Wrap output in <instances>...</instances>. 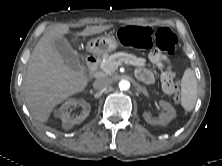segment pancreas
I'll use <instances>...</instances> for the list:
<instances>
[{
    "label": "pancreas",
    "instance_id": "cf45deb5",
    "mask_svg": "<svg viewBox=\"0 0 222 166\" xmlns=\"http://www.w3.org/2000/svg\"><path fill=\"white\" fill-rule=\"evenodd\" d=\"M120 62H124L129 65L144 67L146 66V60L144 58L137 57L132 54H127L124 52H118L111 56L105 58V61L101 62L100 67L101 70L106 75H111L117 69L116 64Z\"/></svg>",
    "mask_w": 222,
    "mask_h": 166
}]
</instances>
